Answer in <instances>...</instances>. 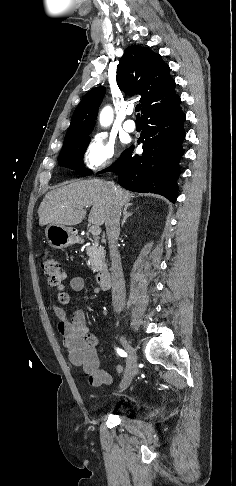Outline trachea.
<instances>
[{
    "mask_svg": "<svg viewBox=\"0 0 236 486\" xmlns=\"http://www.w3.org/2000/svg\"><path fill=\"white\" fill-rule=\"evenodd\" d=\"M140 109H141L140 104L136 105V107H135V111H136V112H139V111H140ZM136 119H140V114H139V113L137 114Z\"/></svg>",
    "mask_w": 236,
    "mask_h": 486,
    "instance_id": "3493384b",
    "label": "trachea"
}]
</instances>
